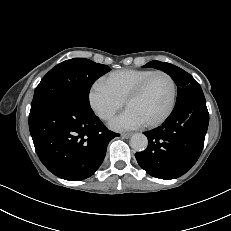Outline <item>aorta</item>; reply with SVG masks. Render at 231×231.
Segmentation results:
<instances>
[{"mask_svg": "<svg viewBox=\"0 0 231 231\" xmlns=\"http://www.w3.org/2000/svg\"><path fill=\"white\" fill-rule=\"evenodd\" d=\"M148 145V139L147 137L142 133H135L132 135L130 140V146L135 151H143L147 148Z\"/></svg>", "mask_w": 231, "mask_h": 231, "instance_id": "aorta-1", "label": "aorta"}]
</instances>
